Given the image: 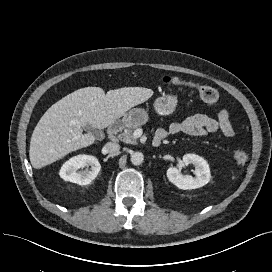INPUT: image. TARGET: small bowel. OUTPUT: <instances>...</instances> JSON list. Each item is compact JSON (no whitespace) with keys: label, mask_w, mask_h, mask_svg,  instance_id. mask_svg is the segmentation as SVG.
Segmentation results:
<instances>
[{"label":"small bowel","mask_w":272,"mask_h":272,"mask_svg":"<svg viewBox=\"0 0 272 272\" xmlns=\"http://www.w3.org/2000/svg\"><path fill=\"white\" fill-rule=\"evenodd\" d=\"M179 133L195 137H201L207 134L231 137L234 135V129L230 122L229 112L222 110L216 118L205 114H195L182 121L173 122L168 129H158L155 133V137L164 140L171 135Z\"/></svg>","instance_id":"small-bowel-1"}]
</instances>
